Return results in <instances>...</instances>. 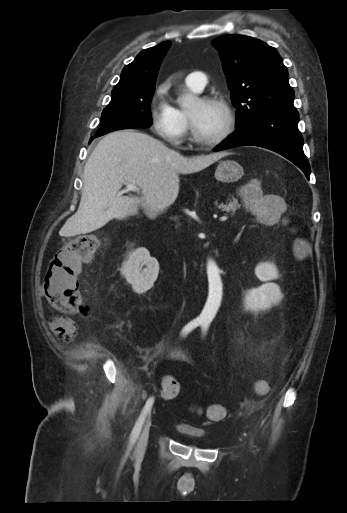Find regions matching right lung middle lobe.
Segmentation results:
<instances>
[{
	"instance_id": "right-lung-middle-lobe-1",
	"label": "right lung middle lobe",
	"mask_w": 347,
	"mask_h": 513,
	"mask_svg": "<svg viewBox=\"0 0 347 513\" xmlns=\"http://www.w3.org/2000/svg\"><path fill=\"white\" fill-rule=\"evenodd\" d=\"M155 87L112 90V99L103 110L96 135L120 129L148 128L152 124L150 103Z\"/></svg>"
}]
</instances>
